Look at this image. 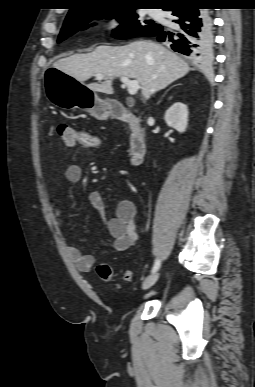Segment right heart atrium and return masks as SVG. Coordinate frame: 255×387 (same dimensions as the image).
Returning a JSON list of instances; mask_svg holds the SVG:
<instances>
[{"label":"right heart atrium","mask_w":255,"mask_h":387,"mask_svg":"<svg viewBox=\"0 0 255 387\" xmlns=\"http://www.w3.org/2000/svg\"><path fill=\"white\" fill-rule=\"evenodd\" d=\"M124 27V22L118 16L110 17L105 23L104 29L110 33L119 32Z\"/></svg>","instance_id":"right-heart-atrium-1"}]
</instances>
